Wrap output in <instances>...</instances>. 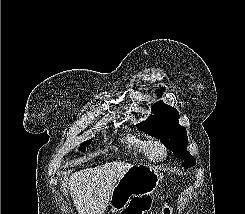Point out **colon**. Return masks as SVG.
I'll return each instance as SVG.
<instances>
[{
    "label": "colon",
    "instance_id": "5ec220e1",
    "mask_svg": "<svg viewBox=\"0 0 245 214\" xmlns=\"http://www.w3.org/2000/svg\"><path fill=\"white\" fill-rule=\"evenodd\" d=\"M151 207V200L148 198L133 199L129 206L121 212V214H147ZM164 214H170L171 207L166 204Z\"/></svg>",
    "mask_w": 245,
    "mask_h": 214
}]
</instances>
